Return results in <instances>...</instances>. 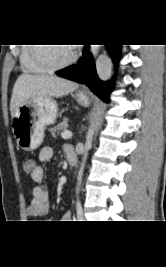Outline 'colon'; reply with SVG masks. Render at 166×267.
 <instances>
[{
    "label": "colon",
    "instance_id": "5ec220e1",
    "mask_svg": "<svg viewBox=\"0 0 166 267\" xmlns=\"http://www.w3.org/2000/svg\"><path fill=\"white\" fill-rule=\"evenodd\" d=\"M35 166V161L34 160H26L23 162V169L25 172H31Z\"/></svg>",
    "mask_w": 166,
    "mask_h": 267
}]
</instances>
